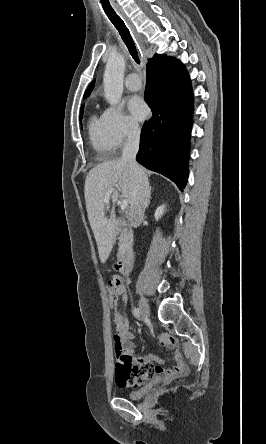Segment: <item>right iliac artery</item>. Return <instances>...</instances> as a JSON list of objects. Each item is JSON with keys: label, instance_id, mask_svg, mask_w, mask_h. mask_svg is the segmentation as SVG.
I'll return each mask as SVG.
<instances>
[{"label": "right iliac artery", "instance_id": "right-iliac-artery-1", "mask_svg": "<svg viewBox=\"0 0 266 444\" xmlns=\"http://www.w3.org/2000/svg\"><path fill=\"white\" fill-rule=\"evenodd\" d=\"M134 315H135L136 318H139V316H140V310H139V308H135V309H134Z\"/></svg>", "mask_w": 266, "mask_h": 444}]
</instances>
